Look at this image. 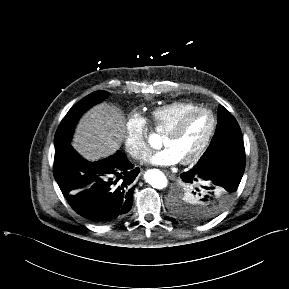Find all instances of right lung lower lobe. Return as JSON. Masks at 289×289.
I'll return each mask as SVG.
<instances>
[{"label": "right lung lower lobe", "instance_id": "obj_1", "mask_svg": "<svg viewBox=\"0 0 289 289\" xmlns=\"http://www.w3.org/2000/svg\"><path fill=\"white\" fill-rule=\"evenodd\" d=\"M138 173L120 151L90 162L70 142L55 150L53 174L63 195L75 212L94 223L114 222L130 211Z\"/></svg>", "mask_w": 289, "mask_h": 289}]
</instances>
